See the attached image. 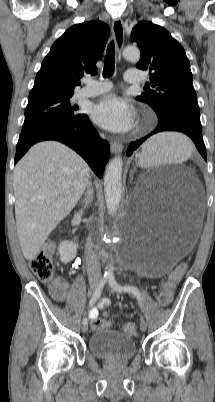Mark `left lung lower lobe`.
Here are the masks:
<instances>
[{
  "label": "left lung lower lobe",
  "instance_id": "1",
  "mask_svg": "<svg viewBox=\"0 0 215 402\" xmlns=\"http://www.w3.org/2000/svg\"><path fill=\"white\" fill-rule=\"evenodd\" d=\"M157 116L158 124L156 128L147 136L130 143L129 148L127 149L128 156H130L135 149H137L153 134L164 131H179L187 134L193 140L202 157L207 160L200 120L177 112H170L162 115L157 114Z\"/></svg>",
  "mask_w": 215,
  "mask_h": 402
}]
</instances>
